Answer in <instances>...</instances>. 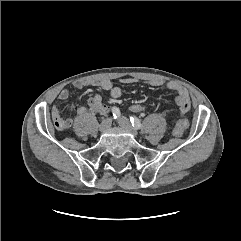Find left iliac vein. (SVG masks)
I'll list each match as a JSON object with an SVG mask.
<instances>
[{
    "instance_id": "1",
    "label": "left iliac vein",
    "mask_w": 241,
    "mask_h": 241,
    "mask_svg": "<svg viewBox=\"0 0 241 241\" xmlns=\"http://www.w3.org/2000/svg\"><path fill=\"white\" fill-rule=\"evenodd\" d=\"M118 123L119 125L126 129L127 131H129L134 137L138 136V132L136 131V129L131 125V123L129 122V120L125 117H120L118 119Z\"/></svg>"
}]
</instances>
